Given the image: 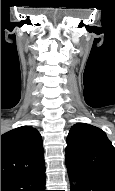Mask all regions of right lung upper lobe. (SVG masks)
Masks as SVG:
<instances>
[{
  "label": "right lung upper lobe",
  "instance_id": "right-lung-upper-lobe-1",
  "mask_svg": "<svg viewBox=\"0 0 115 191\" xmlns=\"http://www.w3.org/2000/svg\"><path fill=\"white\" fill-rule=\"evenodd\" d=\"M40 133L21 126L1 135V179H20L45 171Z\"/></svg>",
  "mask_w": 115,
  "mask_h": 191
}]
</instances>
